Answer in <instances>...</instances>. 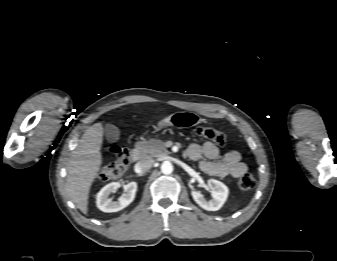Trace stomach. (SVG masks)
Listing matches in <instances>:
<instances>
[{
  "mask_svg": "<svg viewBox=\"0 0 337 261\" xmlns=\"http://www.w3.org/2000/svg\"><path fill=\"white\" fill-rule=\"evenodd\" d=\"M202 122L200 115L194 112L182 111L170 114L158 122L156 130H162L167 127H174L177 129H184L196 126Z\"/></svg>",
  "mask_w": 337,
  "mask_h": 261,
  "instance_id": "1",
  "label": "stomach"
}]
</instances>
